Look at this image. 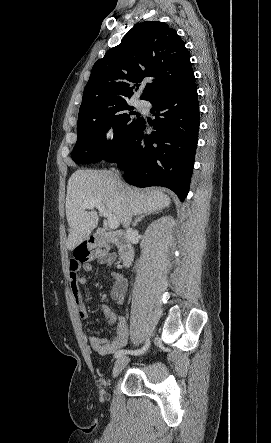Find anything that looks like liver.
Here are the masks:
<instances>
[{"mask_svg":"<svg viewBox=\"0 0 271 443\" xmlns=\"http://www.w3.org/2000/svg\"><path fill=\"white\" fill-rule=\"evenodd\" d=\"M120 192L116 188L113 172L107 170H77L68 180L66 194V218L69 225L68 249H74L89 237L99 222L98 212H86L87 202H102L107 212L119 223H124L125 214H148L168 208L169 196L161 190H139L126 186Z\"/></svg>","mask_w":271,"mask_h":443,"instance_id":"obj_1","label":"liver"}]
</instances>
